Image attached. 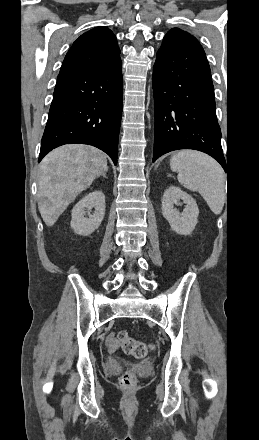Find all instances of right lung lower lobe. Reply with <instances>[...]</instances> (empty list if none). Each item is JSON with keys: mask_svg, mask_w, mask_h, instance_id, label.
<instances>
[{"mask_svg": "<svg viewBox=\"0 0 259 440\" xmlns=\"http://www.w3.org/2000/svg\"><path fill=\"white\" fill-rule=\"evenodd\" d=\"M122 115L120 57L78 73L57 77L38 162L64 144H89L107 153L117 164Z\"/></svg>", "mask_w": 259, "mask_h": 440, "instance_id": "1", "label": "right lung lower lobe"}]
</instances>
